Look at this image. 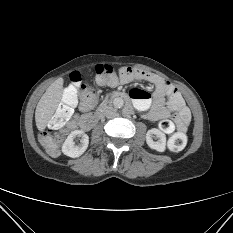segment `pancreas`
<instances>
[{"instance_id":"pancreas-1","label":"pancreas","mask_w":233,"mask_h":233,"mask_svg":"<svg viewBox=\"0 0 233 233\" xmlns=\"http://www.w3.org/2000/svg\"><path fill=\"white\" fill-rule=\"evenodd\" d=\"M104 109V104H102L100 107H99V110H103Z\"/></svg>"}]
</instances>
